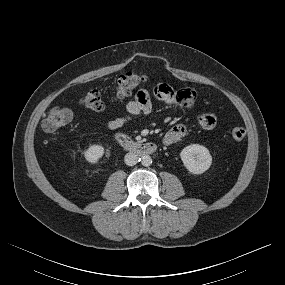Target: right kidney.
Here are the masks:
<instances>
[{
  "mask_svg": "<svg viewBox=\"0 0 285 285\" xmlns=\"http://www.w3.org/2000/svg\"><path fill=\"white\" fill-rule=\"evenodd\" d=\"M104 154V147L101 145H91L85 152L84 157L85 159L91 163L95 164L99 161V159Z\"/></svg>",
  "mask_w": 285,
  "mask_h": 285,
  "instance_id": "ca27d5eb",
  "label": "right kidney"
}]
</instances>
